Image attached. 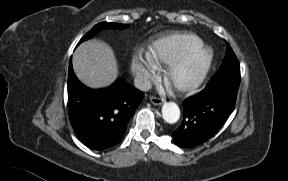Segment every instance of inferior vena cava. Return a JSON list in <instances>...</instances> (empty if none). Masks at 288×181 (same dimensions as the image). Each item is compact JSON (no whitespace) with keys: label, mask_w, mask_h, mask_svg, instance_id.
Listing matches in <instances>:
<instances>
[{"label":"inferior vena cava","mask_w":288,"mask_h":181,"mask_svg":"<svg viewBox=\"0 0 288 181\" xmlns=\"http://www.w3.org/2000/svg\"><path fill=\"white\" fill-rule=\"evenodd\" d=\"M134 85L141 91H148L151 88V82L147 76L137 75L134 79Z\"/></svg>","instance_id":"1"}]
</instances>
